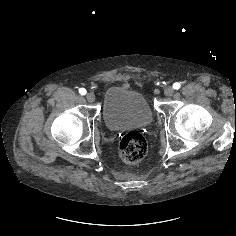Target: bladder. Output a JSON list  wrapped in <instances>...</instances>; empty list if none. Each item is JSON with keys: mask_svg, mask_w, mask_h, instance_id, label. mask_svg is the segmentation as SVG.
<instances>
[{"mask_svg": "<svg viewBox=\"0 0 236 236\" xmlns=\"http://www.w3.org/2000/svg\"><path fill=\"white\" fill-rule=\"evenodd\" d=\"M102 112L106 126L112 130L147 126L153 119V109L146 95L126 86L106 90Z\"/></svg>", "mask_w": 236, "mask_h": 236, "instance_id": "obj_1", "label": "bladder"}]
</instances>
